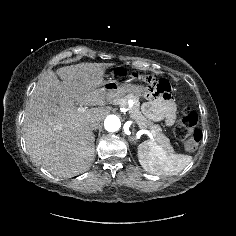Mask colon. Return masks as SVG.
<instances>
[{"mask_svg":"<svg viewBox=\"0 0 236 236\" xmlns=\"http://www.w3.org/2000/svg\"><path fill=\"white\" fill-rule=\"evenodd\" d=\"M123 70L119 71V75L124 76ZM157 91L166 94L170 91V85L167 81H161L157 86ZM198 115L195 111L187 109L184 112L182 120L175 126L174 133L178 140L181 141L183 149L188 152H194L201 140V131L197 128Z\"/></svg>","mask_w":236,"mask_h":236,"instance_id":"colon-1","label":"colon"}]
</instances>
